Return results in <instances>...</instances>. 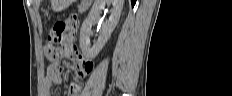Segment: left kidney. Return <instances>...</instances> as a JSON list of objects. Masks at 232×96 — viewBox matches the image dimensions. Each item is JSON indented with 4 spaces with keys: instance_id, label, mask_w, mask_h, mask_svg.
I'll use <instances>...</instances> for the list:
<instances>
[{
    "instance_id": "5707ae66",
    "label": "left kidney",
    "mask_w": 232,
    "mask_h": 96,
    "mask_svg": "<svg viewBox=\"0 0 232 96\" xmlns=\"http://www.w3.org/2000/svg\"><path fill=\"white\" fill-rule=\"evenodd\" d=\"M124 0H95L89 15L84 20L80 30V48L83 55L87 59H94L102 50L111 33L115 29L123 8ZM112 5L111 15L109 20L102 25L101 33L97 41L91 45L90 36L92 34V26L98 21L100 11L104 9L105 5Z\"/></svg>"
}]
</instances>
